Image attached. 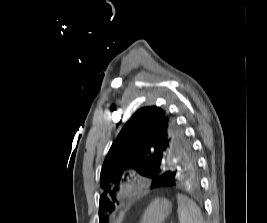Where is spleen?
<instances>
[{
  "label": "spleen",
  "mask_w": 267,
  "mask_h": 223,
  "mask_svg": "<svg viewBox=\"0 0 267 223\" xmlns=\"http://www.w3.org/2000/svg\"><path fill=\"white\" fill-rule=\"evenodd\" d=\"M178 217L180 223H203L200 208L197 204L184 195H177Z\"/></svg>",
  "instance_id": "obj_1"
}]
</instances>
